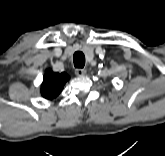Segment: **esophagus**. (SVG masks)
I'll use <instances>...</instances> for the list:
<instances>
[{"label":"esophagus","mask_w":165,"mask_h":156,"mask_svg":"<svg viewBox=\"0 0 165 156\" xmlns=\"http://www.w3.org/2000/svg\"><path fill=\"white\" fill-rule=\"evenodd\" d=\"M75 74L77 76H84L86 74V70L85 69L78 68V69L75 70Z\"/></svg>","instance_id":"obj_1"}]
</instances>
